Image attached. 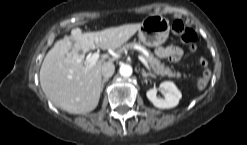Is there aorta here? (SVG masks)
I'll list each match as a JSON object with an SVG mask.
<instances>
[{"label":"aorta","instance_id":"aorta-1","mask_svg":"<svg viewBox=\"0 0 247 145\" xmlns=\"http://www.w3.org/2000/svg\"><path fill=\"white\" fill-rule=\"evenodd\" d=\"M119 72L122 77H130L132 75L133 70L130 65L123 64L120 66Z\"/></svg>","mask_w":247,"mask_h":145}]
</instances>
